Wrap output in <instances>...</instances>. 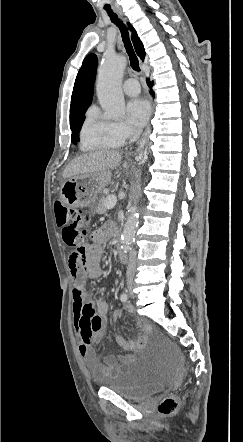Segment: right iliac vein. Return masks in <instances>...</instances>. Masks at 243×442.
Returning a JSON list of instances; mask_svg holds the SVG:
<instances>
[{"label": "right iliac vein", "mask_w": 243, "mask_h": 442, "mask_svg": "<svg viewBox=\"0 0 243 442\" xmlns=\"http://www.w3.org/2000/svg\"><path fill=\"white\" fill-rule=\"evenodd\" d=\"M127 291H128L129 293L133 294V284H132V283H130V284L128 285V287H127Z\"/></svg>", "instance_id": "63e3f726"}]
</instances>
